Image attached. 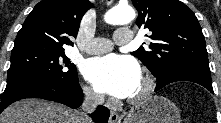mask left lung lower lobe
I'll list each match as a JSON object with an SVG mask.
<instances>
[{
    "label": "left lung lower lobe",
    "mask_w": 221,
    "mask_h": 123,
    "mask_svg": "<svg viewBox=\"0 0 221 123\" xmlns=\"http://www.w3.org/2000/svg\"><path fill=\"white\" fill-rule=\"evenodd\" d=\"M176 81H191L198 83L208 89L211 93H214L210 70L195 66L175 68L162 73L161 76L157 78L155 91H158L166 85Z\"/></svg>",
    "instance_id": "obj_1"
}]
</instances>
